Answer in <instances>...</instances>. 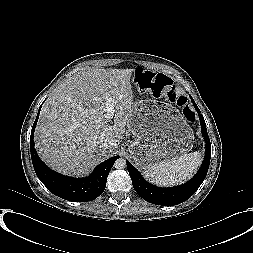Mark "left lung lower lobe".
<instances>
[{
	"label": "left lung lower lobe",
	"mask_w": 253,
	"mask_h": 253,
	"mask_svg": "<svg viewBox=\"0 0 253 253\" xmlns=\"http://www.w3.org/2000/svg\"><path fill=\"white\" fill-rule=\"evenodd\" d=\"M192 99V97H191ZM192 103L196 108V111L199 114V119L201 123V131L206 143V154L197 174L187 183H184L180 186L171 187V188H160L148 183L139 173V171L132 166L127 161V169L129 175L132 179L134 190L140 195L144 200L156 204V205H165L172 206L180 204L187 199H189L202 184L205 179L211 158V144L209 136L206 129L205 120L200 110L197 107L196 103L192 99Z\"/></svg>",
	"instance_id": "left-lung-lower-lobe-1"
}]
</instances>
